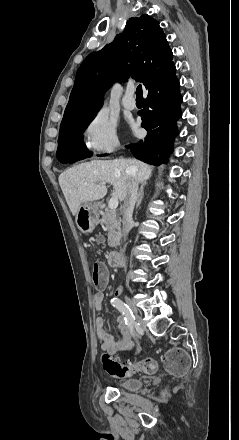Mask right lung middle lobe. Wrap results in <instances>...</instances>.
<instances>
[{"mask_svg": "<svg viewBox=\"0 0 239 440\" xmlns=\"http://www.w3.org/2000/svg\"><path fill=\"white\" fill-rule=\"evenodd\" d=\"M96 113L97 111L80 115L61 123L57 152H60L62 149L68 147L84 144L82 133L85 131L89 123L93 120Z\"/></svg>", "mask_w": 239, "mask_h": 440, "instance_id": "obj_1", "label": "right lung middle lobe"}]
</instances>
